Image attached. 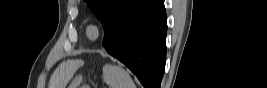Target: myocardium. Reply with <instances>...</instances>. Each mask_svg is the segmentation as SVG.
<instances>
[{"label":"myocardium","instance_id":"obj_1","mask_svg":"<svg viewBox=\"0 0 267 88\" xmlns=\"http://www.w3.org/2000/svg\"><path fill=\"white\" fill-rule=\"evenodd\" d=\"M85 35L90 41H96L100 37V29L96 24H89L86 27Z\"/></svg>","mask_w":267,"mask_h":88}]
</instances>
